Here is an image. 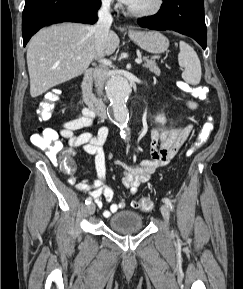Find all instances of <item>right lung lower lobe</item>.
Instances as JSON below:
<instances>
[{"instance_id":"1","label":"right lung lower lobe","mask_w":243,"mask_h":289,"mask_svg":"<svg viewBox=\"0 0 243 289\" xmlns=\"http://www.w3.org/2000/svg\"><path fill=\"white\" fill-rule=\"evenodd\" d=\"M101 0H26L22 17L24 46L39 29L59 22L93 24Z\"/></svg>"}]
</instances>
